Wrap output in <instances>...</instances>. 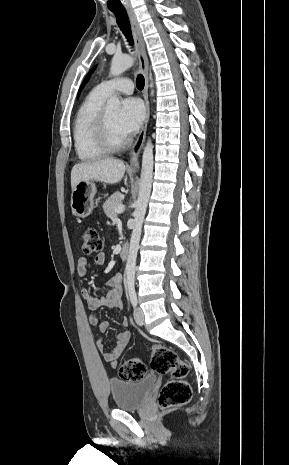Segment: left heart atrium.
Wrapping results in <instances>:
<instances>
[{"label": "left heart atrium", "mask_w": 289, "mask_h": 465, "mask_svg": "<svg viewBox=\"0 0 289 465\" xmlns=\"http://www.w3.org/2000/svg\"><path fill=\"white\" fill-rule=\"evenodd\" d=\"M145 116L144 106L137 98H127L123 101L118 114V128L124 137L138 131Z\"/></svg>", "instance_id": "left-heart-atrium-1"}]
</instances>
